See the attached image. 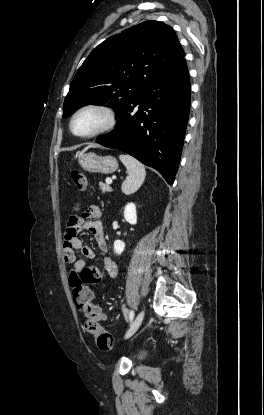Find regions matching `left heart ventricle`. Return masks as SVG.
<instances>
[{"mask_svg":"<svg viewBox=\"0 0 264 415\" xmlns=\"http://www.w3.org/2000/svg\"><path fill=\"white\" fill-rule=\"evenodd\" d=\"M106 120L105 115L97 110H86L74 121V130L78 134H88L101 127Z\"/></svg>","mask_w":264,"mask_h":415,"instance_id":"left-heart-ventricle-1","label":"left heart ventricle"}]
</instances>
